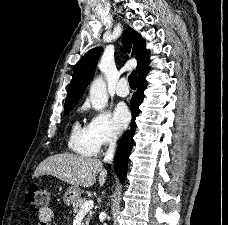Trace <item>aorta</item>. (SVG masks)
<instances>
[{
    "label": "aorta",
    "mask_w": 228,
    "mask_h": 225,
    "mask_svg": "<svg viewBox=\"0 0 228 225\" xmlns=\"http://www.w3.org/2000/svg\"><path fill=\"white\" fill-rule=\"evenodd\" d=\"M90 102L95 110H102L108 102L106 82L102 76L93 80L89 90Z\"/></svg>",
    "instance_id": "762f6f07"
}]
</instances>
